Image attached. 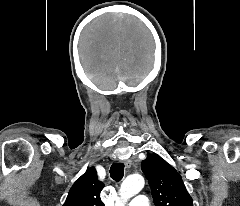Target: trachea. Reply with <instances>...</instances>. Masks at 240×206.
Segmentation results:
<instances>
[{"label": "trachea", "instance_id": "3493384b", "mask_svg": "<svg viewBox=\"0 0 240 206\" xmlns=\"http://www.w3.org/2000/svg\"><path fill=\"white\" fill-rule=\"evenodd\" d=\"M110 176L115 181H120L124 176V164L115 163L110 168Z\"/></svg>", "mask_w": 240, "mask_h": 206}]
</instances>
